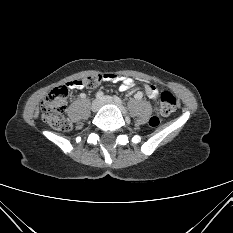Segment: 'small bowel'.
Returning <instances> with one entry per match:
<instances>
[{
  "mask_svg": "<svg viewBox=\"0 0 233 233\" xmlns=\"http://www.w3.org/2000/svg\"><path fill=\"white\" fill-rule=\"evenodd\" d=\"M103 81H111L114 83H120V87L122 91H126L135 85V81L132 78L122 77L118 75H104ZM65 87L68 90H72L73 88H77L81 93H84L87 90V87L84 85V81L81 78H78L76 81H68L65 84ZM143 94L147 95L149 98L155 100L158 95V90L155 86L144 83L143 91H137L135 93V98H142Z\"/></svg>",
  "mask_w": 233,
  "mask_h": 233,
  "instance_id": "small-bowel-1",
  "label": "small bowel"
}]
</instances>
